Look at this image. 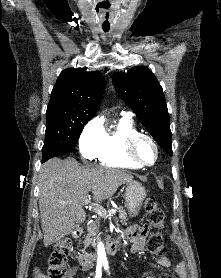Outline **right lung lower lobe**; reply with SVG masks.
<instances>
[{
    "mask_svg": "<svg viewBox=\"0 0 221 278\" xmlns=\"http://www.w3.org/2000/svg\"><path fill=\"white\" fill-rule=\"evenodd\" d=\"M47 160H48V159H42V163L45 162V161H47Z\"/></svg>",
    "mask_w": 221,
    "mask_h": 278,
    "instance_id": "right-lung-lower-lobe-1",
    "label": "right lung lower lobe"
}]
</instances>
